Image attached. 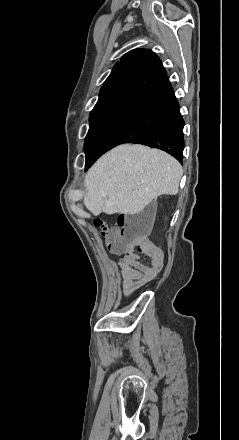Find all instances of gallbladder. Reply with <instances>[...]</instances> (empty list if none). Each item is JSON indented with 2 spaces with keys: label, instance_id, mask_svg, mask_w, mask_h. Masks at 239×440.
I'll return each mask as SVG.
<instances>
[{
  "label": "gallbladder",
  "instance_id": "bac80fb5",
  "mask_svg": "<svg viewBox=\"0 0 239 440\" xmlns=\"http://www.w3.org/2000/svg\"><path fill=\"white\" fill-rule=\"evenodd\" d=\"M149 226H150V224H149V222H148V228H149Z\"/></svg>",
  "mask_w": 239,
  "mask_h": 440
}]
</instances>
